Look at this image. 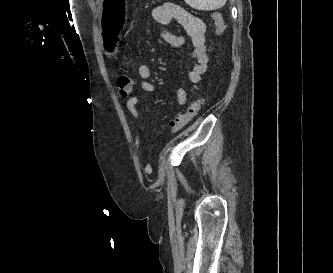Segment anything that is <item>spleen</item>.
<instances>
[{
    "instance_id": "obj_1",
    "label": "spleen",
    "mask_w": 333,
    "mask_h": 273,
    "mask_svg": "<svg viewBox=\"0 0 333 273\" xmlns=\"http://www.w3.org/2000/svg\"><path fill=\"white\" fill-rule=\"evenodd\" d=\"M227 0H185L192 8L197 10L212 11L222 8Z\"/></svg>"
}]
</instances>
